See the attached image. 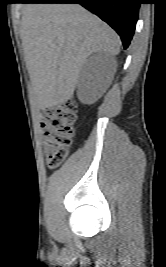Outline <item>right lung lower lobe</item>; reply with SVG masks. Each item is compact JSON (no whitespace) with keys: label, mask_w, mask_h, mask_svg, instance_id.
Listing matches in <instances>:
<instances>
[{"label":"right lung lower lobe","mask_w":166,"mask_h":267,"mask_svg":"<svg viewBox=\"0 0 166 267\" xmlns=\"http://www.w3.org/2000/svg\"><path fill=\"white\" fill-rule=\"evenodd\" d=\"M21 3H78L107 22L126 49L134 34L140 0H22Z\"/></svg>","instance_id":"right-lung-lower-lobe-1"}]
</instances>
